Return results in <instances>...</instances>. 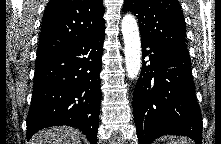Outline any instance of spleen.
I'll return each mask as SVG.
<instances>
[{"instance_id": "spleen-1", "label": "spleen", "mask_w": 221, "mask_h": 144, "mask_svg": "<svg viewBox=\"0 0 221 144\" xmlns=\"http://www.w3.org/2000/svg\"><path fill=\"white\" fill-rule=\"evenodd\" d=\"M167 144H191V142L187 138L174 139V137L168 138Z\"/></svg>"}]
</instances>
